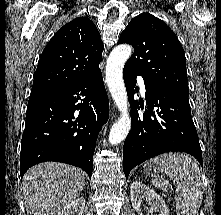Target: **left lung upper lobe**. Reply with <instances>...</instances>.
<instances>
[{"label":"left lung upper lobe","mask_w":221,"mask_h":215,"mask_svg":"<svg viewBox=\"0 0 221 215\" xmlns=\"http://www.w3.org/2000/svg\"><path fill=\"white\" fill-rule=\"evenodd\" d=\"M118 43L134 48L127 68L159 88L188 98L185 54L175 33L162 20L149 13L139 14L121 33Z\"/></svg>","instance_id":"left-lung-upper-lobe-1"}]
</instances>
